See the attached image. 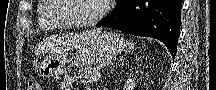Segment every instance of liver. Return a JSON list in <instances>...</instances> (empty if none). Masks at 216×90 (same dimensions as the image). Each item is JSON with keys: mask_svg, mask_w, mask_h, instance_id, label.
Wrapping results in <instances>:
<instances>
[{"mask_svg": "<svg viewBox=\"0 0 216 90\" xmlns=\"http://www.w3.org/2000/svg\"><path fill=\"white\" fill-rule=\"evenodd\" d=\"M102 28H98V30H90V32H82V34H78V36H73V38H69V42H71L72 46H77V44H86L87 40H91L94 34H100Z\"/></svg>", "mask_w": 216, "mask_h": 90, "instance_id": "1", "label": "liver"}]
</instances>
